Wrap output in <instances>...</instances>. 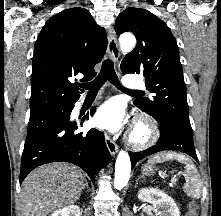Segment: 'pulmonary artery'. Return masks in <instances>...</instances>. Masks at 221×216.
<instances>
[{
  "instance_id": "obj_1",
  "label": "pulmonary artery",
  "mask_w": 221,
  "mask_h": 216,
  "mask_svg": "<svg viewBox=\"0 0 221 216\" xmlns=\"http://www.w3.org/2000/svg\"><path fill=\"white\" fill-rule=\"evenodd\" d=\"M123 85L130 90H134L138 88H143L144 82L140 78L129 75L124 77Z\"/></svg>"
}]
</instances>
